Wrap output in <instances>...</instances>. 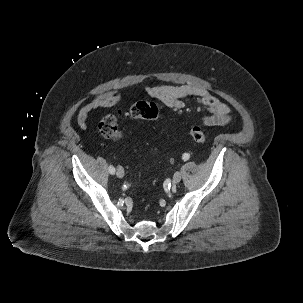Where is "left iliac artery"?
<instances>
[{"mask_svg":"<svg viewBox=\"0 0 303 303\" xmlns=\"http://www.w3.org/2000/svg\"><path fill=\"white\" fill-rule=\"evenodd\" d=\"M189 158H190V154H189V153H184L183 156H182V159H183L184 161L189 160Z\"/></svg>","mask_w":303,"mask_h":303,"instance_id":"44dca946","label":"left iliac artery"}]
</instances>
